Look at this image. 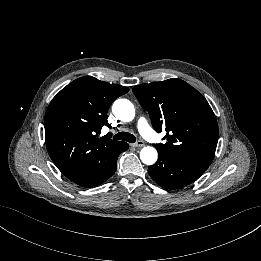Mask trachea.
I'll use <instances>...</instances> for the list:
<instances>
[{"instance_id": "3493384b", "label": "trachea", "mask_w": 261, "mask_h": 261, "mask_svg": "<svg viewBox=\"0 0 261 261\" xmlns=\"http://www.w3.org/2000/svg\"><path fill=\"white\" fill-rule=\"evenodd\" d=\"M114 139L127 141L129 143H135L136 137L133 134L127 132H119L113 136Z\"/></svg>"}]
</instances>
